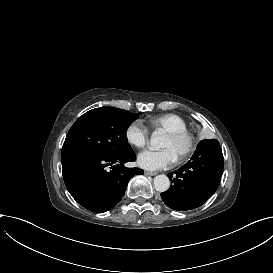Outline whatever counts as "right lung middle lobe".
Masks as SVG:
<instances>
[{
	"mask_svg": "<svg viewBox=\"0 0 273 273\" xmlns=\"http://www.w3.org/2000/svg\"><path fill=\"white\" fill-rule=\"evenodd\" d=\"M139 113L113 107L92 109L80 116L69 130L61 159L77 154L120 155L131 149L126 130Z\"/></svg>",
	"mask_w": 273,
	"mask_h": 273,
	"instance_id": "1",
	"label": "right lung middle lobe"
}]
</instances>
